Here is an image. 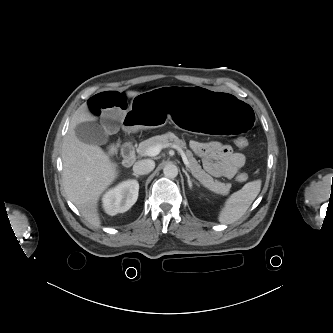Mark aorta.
Masks as SVG:
<instances>
[{
	"label": "aorta",
	"instance_id": "1",
	"mask_svg": "<svg viewBox=\"0 0 333 333\" xmlns=\"http://www.w3.org/2000/svg\"><path fill=\"white\" fill-rule=\"evenodd\" d=\"M163 173L167 178H175L178 175V168L174 164H167L163 168Z\"/></svg>",
	"mask_w": 333,
	"mask_h": 333
}]
</instances>
